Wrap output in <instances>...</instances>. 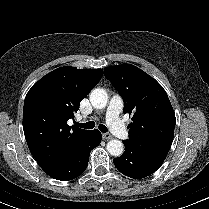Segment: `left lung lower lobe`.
Segmentation results:
<instances>
[{
    "label": "left lung lower lobe",
    "mask_w": 209,
    "mask_h": 209,
    "mask_svg": "<svg viewBox=\"0 0 209 209\" xmlns=\"http://www.w3.org/2000/svg\"><path fill=\"white\" fill-rule=\"evenodd\" d=\"M123 143L125 152L121 157L113 159V162L121 173L134 179L154 173L162 165L168 153L142 147L130 140H124Z\"/></svg>",
    "instance_id": "1"
}]
</instances>
